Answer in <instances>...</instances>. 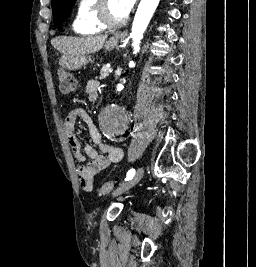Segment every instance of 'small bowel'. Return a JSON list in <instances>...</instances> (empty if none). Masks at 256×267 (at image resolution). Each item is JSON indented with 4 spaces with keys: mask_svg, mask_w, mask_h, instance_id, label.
<instances>
[{
    "mask_svg": "<svg viewBox=\"0 0 256 267\" xmlns=\"http://www.w3.org/2000/svg\"><path fill=\"white\" fill-rule=\"evenodd\" d=\"M85 90L89 101H97L100 95L99 81L89 80ZM77 119H81L86 123L92 141L99 147L102 153L91 145L82 144L79 140L75 131ZM64 130L76 157L80 161H84L86 158L89 159L87 164L77 167L76 173L81 187L85 191L91 192L94 189L95 176L111 164L120 162L123 158V151L118 147L105 143L90 116L80 108L69 112L64 122Z\"/></svg>",
    "mask_w": 256,
    "mask_h": 267,
    "instance_id": "small-bowel-1",
    "label": "small bowel"
}]
</instances>
